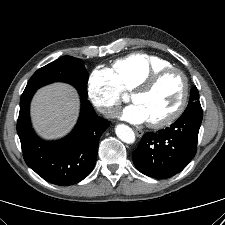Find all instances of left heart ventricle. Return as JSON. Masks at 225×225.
I'll list each match as a JSON object with an SVG mask.
<instances>
[{
    "mask_svg": "<svg viewBox=\"0 0 225 225\" xmlns=\"http://www.w3.org/2000/svg\"><path fill=\"white\" fill-rule=\"evenodd\" d=\"M182 94V81L177 73L164 76L150 91L135 93L131 99L140 105L146 113L148 121L159 120L179 103Z\"/></svg>",
    "mask_w": 225,
    "mask_h": 225,
    "instance_id": "obj_1",
    "label": "left heart ventricle"
}]
</instances>
